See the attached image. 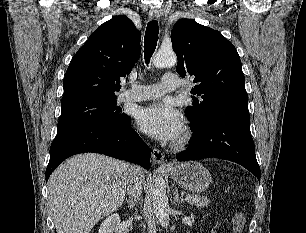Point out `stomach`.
<instances>
[{"label":"stomach","instance_id":"obj_1","mask_svg":"<svg viewBox=\"0 0 306 233\" xmlns=\"http://www.w3.org/2000/svg\"><path fill=\"white\" fill-rule=\"evenodd\" d=\"M170 177L179 185L195 193L203 192L211 182L209 171L197 161H187L172 167Z\"/></svg>","mask_w":306,"mask_h":233}]
</instances>
